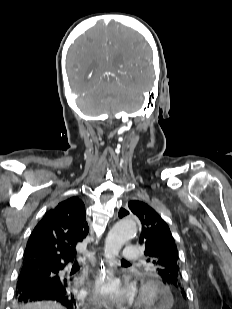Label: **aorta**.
Returning <instances> with one entry per match:
<instances>
[{
	"instance_id": "aorta-1",
	"label": "aorta",
	"mask_w": 232,
	"mask_h": 309,
	"mask_svg": "<svg viewBox=\"0 0 232 309\" xmlns=\"http://www.w3.org/2000/svg\"><path fill=\"white\" fill-rule=\"evenodd\" d=\"M138 230L137 221L134 218H127L116 223L109 231L105 240V258L110 265L116 261L123 245L134 235Z\"/></svg>"
}]
</instances>
